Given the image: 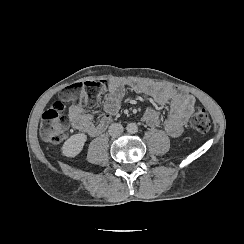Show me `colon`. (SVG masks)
<instances>
[{
  "label": "colon",
  "mask_w": 244,
  "mask_h": 244,
  "mask_svg": "<svg viewBox=\"0 0 244 244\" xmlns=\"http://www.w3.org/2000/svg\"><path fill=\"white\" fill-rule=\"evenodd\" d=\"M106 84V81H94L89 86L85 83H77L61 87L58 95L64 101L70 100L73 95L75 100L94 105L99 101ZM64 101L52 102L41 116L40 135L49 143L60 142L70 126L69 121L63 116L66 107ZM191 123L192 127L200 133L207 132L211 127L209 115L203 108L195 109Z\"/></svg>",
  "instance_id": "5ec220e1"
}]
</instances>
